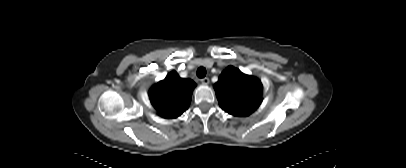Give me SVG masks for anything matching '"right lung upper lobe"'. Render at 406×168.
I'll use <instances>...</instances> for the list:
<instances>
[{
  "mask_svg": "<svg viewBox=\"0 0 406 168\" xmlns=\"http://www.w3.org/2000/svg\"><path fill=\"white\" fill-rule=\"evenodd\" d=\"M196 84L172 71L149 92L152 105L163 118H176L188 107Z\"/></svg>",
  "mask_w": 406,
  "mask_h": 168,
  "instance_id": "obj_1",
  "label": "right lung upper lobe"
}]
</instances>
